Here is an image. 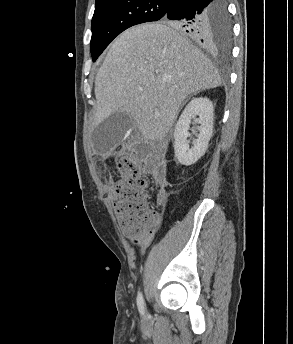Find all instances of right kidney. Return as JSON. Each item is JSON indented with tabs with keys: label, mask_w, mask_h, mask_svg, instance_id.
I'll return each instance as SVG.
<instances>
[{
	"label": "right kidney",
	"mask_w": 293,
	"mask_h": 344,
	"mask_svg": "<svg viewBox=\"0 0 293 344\" xmlns=\"http://www.w3.org/2000/svg\"><path fill=\"white\" fill-rule=\"evenodd\" d=\"M213 111V104L207 97L193 98L183 110L175 125L173 143L175 157L180 164L190 166L205 154L213 133ZM193 119L200 126L197 139L190 146L187 138L190 136L188 130Z\"/></svg>",
	"instance_id": "ca27d5eb"
}]
</instances>
